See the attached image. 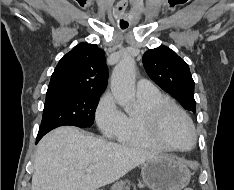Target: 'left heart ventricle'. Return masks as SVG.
Instances as JSON below:
<instances>
[{"mask_svg":"<svg viewBox=\"0 0 234 190\" xmlns=\"http://www.w3.org/2000/svg\"><path fill=\"white\" fill-rule=\"evenodd\" d=\"M166 139L178 147H187L192 140L191 130L186 121L177 113H170L163 126Z\"/></svg>","mask_w":234,"mask_h":190,"instance_id":"left-heart-ventricle-1","label":"left heart ventricle"}]
</instances>
